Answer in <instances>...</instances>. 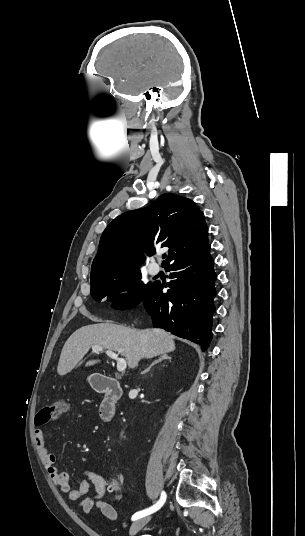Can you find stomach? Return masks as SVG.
Here are the masks:
<instances>
[{
    "mask_svg": "<svg viewBox=\"0 0 305 536\" xmlns=\"http://www.w3.org/2000/svg\"><path fill=\"white\" fill-rule=\"evenodd\" d=\"M88 382H90V384H91V378H88Z\"/></svg>",
    "mask_w": 305,
    "mask_h": 536,
    "instance_id": "0dacf381",
    "label": "stomach"
}]
</instances>
